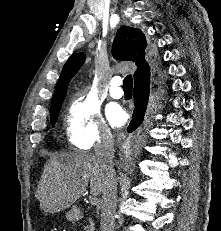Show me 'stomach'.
Returning <instances> with one entry per match:
<instances>
[{"mask_svg":"<svg viewBox=\"0 0 221 231\" xmlns=\"http://www.w3.org/2000/svg\"><path fill=\"white\" fill-rule=\"evenodd\" d=\"M66 217L69 221H73L77 218L76 211L74 209H71L66 213Z\"/></svg>","mask_w":221,"mask_h":231,"instance_id":"1","label":"stomach"}]
</instances>
